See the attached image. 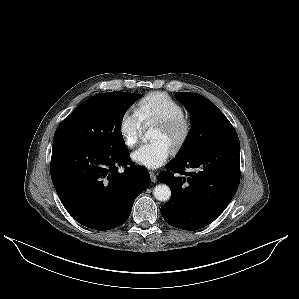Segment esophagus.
<instances>
[{
	"mask_svg": "<svg viewBox=\"0 0 299 299\" xmlns=\"http://www.w3.org/2000/svg\"><path fill=\"white\" fill-rule=\"evenodd\" d=\"M149 174H150V177H151V181L153 183H155L157 181L156 174L154 172H152V171H150Z\"/></svg>",
	"mask_w": 299,
	"mask_h": 299,
	"instance_id": "obj_1",
	"label": "esophagus"
}]
</instances>
